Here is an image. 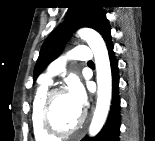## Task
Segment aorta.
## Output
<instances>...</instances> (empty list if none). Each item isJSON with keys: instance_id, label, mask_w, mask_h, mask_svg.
<instances>
[{"instance_id": "obj_1", "label": "aorta", "mask_w": 155, "mask_h": 141, "mask_svg": "<svg viewBox=\"0 0 155 141\" xmlns=\"http://www.w3.org/2000/svg\"><path fill=\"white\" fill-rule=\"evenodd\" d=\"M78 36L87 42L91 48L97 71V103L89 127V135L95 136L102 129L110 108L112 95V76L108 51L102 37L93 29L83 28L78 31Z\"/></svg>"}]
</instances>
